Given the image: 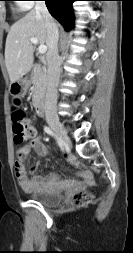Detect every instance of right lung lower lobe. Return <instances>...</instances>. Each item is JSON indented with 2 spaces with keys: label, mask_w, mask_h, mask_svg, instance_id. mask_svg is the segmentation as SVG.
<instances>
[{
  "label": "right lung lower lobe",
  "mask_w": 133,
  "mask_h": 253,
  "mask_svg": "<svg viewBox=\"0 0 133 253\" xmlns=\"http://www.w3.org/2000/svg\"><path fill=\"white\" fill-rule=\"evenodd\" d=\"M76 0H45L50 14L69 31L73 27L72 3Z\"/></svg>",
  "instance_id": "right-lung-lower-lobe-1"
}]
</instances>
